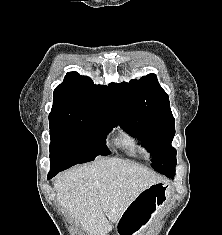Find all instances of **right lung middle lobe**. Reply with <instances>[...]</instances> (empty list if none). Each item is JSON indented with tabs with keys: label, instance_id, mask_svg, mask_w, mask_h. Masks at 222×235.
Instances as JSON below:
<instances>
[{
	"label": "right lung middle lobe",
	"instance_id": "dd1d6c3e",
	"mask_svg": "<svg viewBox=\"0 0 222 235\" xmlns=\"http://www.w3.org/2000/svg\"><path fill=\"white\" fill-rule=\"evenodd\" d=\"M50 172L59 173L78 163L109 155L106 135L117 120L95 114L64 113L49 115Z\"/></svg>",
	"mask_w": 222,
	"mask_h": 235
}]
</instances>
